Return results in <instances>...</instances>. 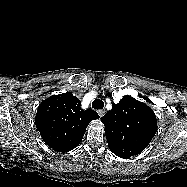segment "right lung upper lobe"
<instances>
[{"label":"right lung upper lobe","mask_w":187,"mask_h":187,"mask_svg":"<svg viewBox=\"0 0 187 187\" xmlns=\"http://www.w3.org/2000/svg\"><path fill=\"white\" fill-rule=\"evenodd\" d=\"M70 92L53 95L39 105L35 124L43 141L58 152H69L81 142L88 124L99 118L92 109L82 110Z\"/></svg>","instance_id":"1"}]
</instances>
